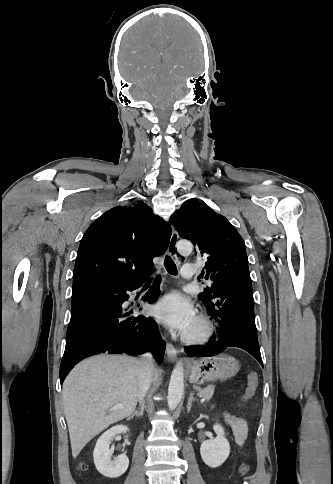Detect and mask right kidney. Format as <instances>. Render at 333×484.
Wrapping results in <instances>:
<instances>
[{"label": "right kidney", "instance_id": "1", "mask_svg": "<svg viewBox=\"0 0 333 484\" xmlns=\"http://www.w3.org/2000/svg\"><path fill=\"white\" fill-rule=\"evenodd\" d=\"M124 425H116L103 433L96 442L93 459L96 469L105 477L116 478L125 473L129 466V459L126 454H121L111 460L109 444L113 437L128 431ZM128 436H126L127 438Z\"/></svg>", "mask_w": 333, "mask_h": 484}]
</instances>
